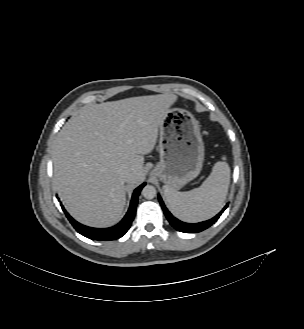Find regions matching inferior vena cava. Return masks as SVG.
I'll list each match as a JSON object with an SVG mask.
<instances>
[{
    "mask_svg": "<svg viewBox=\"0 0 304 329\" xmlns=\"http://www.w3.org/2000/svg\"><path fill=\"white\" fill-rule=\"evenodd\" d=\"M121 175L124 179L127 180L130 177L131 173L128 170L124 169L121 171Z\"/></svg>",
    "mask_w": 304,
    "mask_h": 329,
    "instance_id": "obj_1",
    "label": "inferior vena cava"
}]
</instances>
